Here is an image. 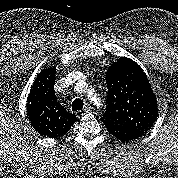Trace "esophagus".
<instances>
[{
	"instance_id": "34e87169",
	"label": "esophagus",
	"mask_w": 178,
	"mask_h": 178,
	"mask_svg": "<svg viewBox=\"0 0 178 178\" xmlns=\"http://www.w3.org/2000/svg\"><path fill=\"white\" fill-rule=\"evenodd\" d=\"M89 112V109H83V110H79L77 111L75 114L77 117H82L83 115L87 114Z\"/></svg>"
}]
</instances>
